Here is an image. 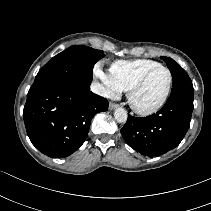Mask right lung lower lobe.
I'll list each match as a JSON object with an SVG mask.
<instances>
[{
	"label": "right lung lower lobe",
	"mask_w": 211,
	"mask_h": 211,
	"mask_svg": "<svg viewBox=\"0 0 211 211\" xmlns=\"http://www.w3.org/2000/svg\"><path fill=\"white\" fill-rule=\"evenodd\" d=\"M106 110L107 99L90 88L41 82L29 89L23 118L32 144L49 157L63 158L83 144L92 117Z\"/></svg>",
	"instance_id": "1"
}]
</instances>
